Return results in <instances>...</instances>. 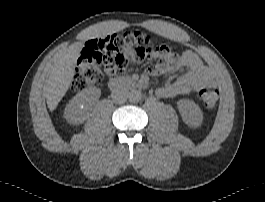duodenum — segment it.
<instances>
[{
	"instance_id": "1",
	"label": "duodenum",
	"mask_w": 265,
	"mask_h": 202,
	"mask_svg": "<svg viewBox=\"0 0 265 202\" xmlns=\"http://www.w3.org/2000/svg\"><path fill=\"white\" fill-rule=\"evenodd\" d=\"M144 85L141 81L131 79L125 76L113 77L108 81V88L112 92H119L122 89H137Z\"/></svg>"
}]
</instances>
